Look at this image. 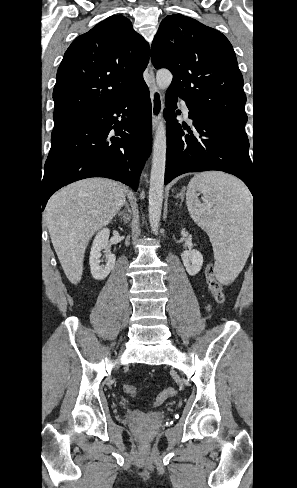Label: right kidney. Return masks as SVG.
<instances>
[{
    "label": "right kidney",
    "mask_w": 297,
    "mask_h": 488,
    "mask_svg": "<svg viewBox=\"0 0 297 488\" xmlns=\"http://www.w3.org/2000/svg\"><path fill=\"white\" fill-rule=\"evenodd\" d=\"M109 236H110V231L108 228L101 229L96 234L91 247L89 263H90L91 274L95 280L105 279L109 275L113 267L115 266L116 257L114 254L110 252L108 248ZM103 249L106 252V259H107L105 267H101L99 265L101 251Z\"/></svg>",
    "instance_id": "obj_1"
}]
</instances>
